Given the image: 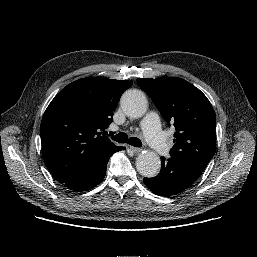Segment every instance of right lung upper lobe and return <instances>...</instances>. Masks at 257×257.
<instances>
[{"label":"right lung upper lobe","instance_id":"right-lung-upper-lobe-1","mask_svg":"<svg viewBox=\"0 0 257 257\" xmlns=\"http://www.w3.org/2000/svg\"><path fill=\"white\" fill-rule=\"evenodd\" d=\"M132 82L83 78L54 97L42 118L40 135L44 161L55 179L68 181L117 147L103 134Z\"/></svg>","mask_w":257,"mask_h":257}]
</instances>
